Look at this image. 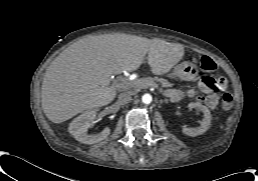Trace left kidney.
<instances>
[{
  "mask_svg": "<svg viewBox=\"0 0 258 181\" xmlns=\"http://www.w3.org/2000/svg\"><path fill=\"white\" fill-rule=\"evenodd\" d=\"M189 108H195L198 111L203 113V119L200 122V125L198 127H184L182 129L183 133L188 135V136H197V135H201L204 132H206L210 126L211 123V113L210 110L202 105L200 102H193L189 104Z\"/></svg>",
  "mask_w": 258,
  "mask_h": 181,
  "instance_id": "1",
  "label": "left kidney"
}]
</instances>
